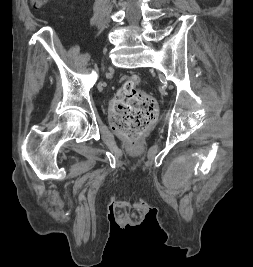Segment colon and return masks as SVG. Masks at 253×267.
Instances as JSON below:
<instances>
[{"mask_svg":"<svg viewBox=\"0 0 253 267\" xmlns=\"http://www.w3.org/2000/svg\"><path fill=\"white\" fill-rule=\"evenodd\" d=\"M45 0H32L40 7ZM111 104V125L121 136L136 143L152 124L156 112L155 99L139 89L141 79L137 75H126Z\"/></svg>","mask_w":253,"mask_h":267,"instance_id":"obj_1","label":"colon"}]
</instances>
